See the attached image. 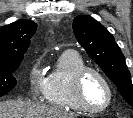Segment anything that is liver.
Here are the masks:
<instances>
[{
  "label": "liver",
  "instance_id": "6515ba94",
  "mask_svg": "<svg viewBox=\"0 0 133 118\" xmlns=\"http://www.w3.org/2000/svg\"><path fill=\"white\" fill-rule=\"evenodd\" d=\"M0 118H77L74 113L21 100L0 102Z\"/></svg>",
  "mask_w": 133,
  "mask_h": 118
}]
</instances>
